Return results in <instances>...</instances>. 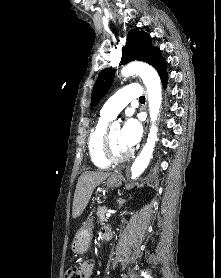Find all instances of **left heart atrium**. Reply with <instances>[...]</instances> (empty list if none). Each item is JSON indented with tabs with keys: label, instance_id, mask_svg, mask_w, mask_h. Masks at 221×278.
Segmentation results:
<instances>
[{
	"label": "left heart atrium",
	"instance_id": "1",
	"mask_svg": "<svg viewBox=\"0 0 221 278\" xmlns=\"http://www.w3.org/2000/svg\"><path fill=\"white\" fill-rule=\"evenodd\" d=\"M140 136L141 127L139 122L133 118L128 119L120 132L122 143L130 149L139 141Z\"/></svg>",
	"mask_w": 221,
	"mask_h": 278
}]
</instances>
